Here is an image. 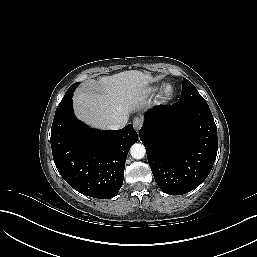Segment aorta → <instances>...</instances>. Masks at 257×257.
Segmentation results:
<instances>
[{"label":"aorta","mask_w":257,"mask_h":257,"mask_svg":"<svg viewBox=\"0 0 257 257\" xmlns=\"http://www.w3.org/2000/svg\"><path fill=\"white\" fill-rule=\"evenodd\" d=\"M130 153L134 159H142L146 154V150L144 145L140 143H135L131 146Z\"/></svg>","instance_id":"762f6f07"}]
</instances>
